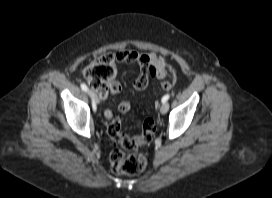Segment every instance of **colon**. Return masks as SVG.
Instances as JSON below:
<instances>
[{
    "label": "colon",
    "instance_id": "1",
    "mask_svg": "<svg viewBox=\"0 0 272 198\" xmlns=\"http://www.w3.org/2000/svg\"><path fill=\"white\" fill-rule=\"evenodd\" d=\"M121 56L117 53H105L96 58L85 70L84 76L88 84L99 94L111 93V85L114 82L115 63L121 61ZM154 74V68L149 67L143 71L136 81L138 89L146 87L148 78ZM162 88L168 91L172 88L170 82H163ZM122 118L116 116L109 123L107 132L109 136L127 151L115 148L110 154V166L114 173L123 175H134L141 172L147 163L145 155L140 151V147L150 142L155 135L156 125L153 119H146L143 123L140 136L130 137L121 133Z\"/></svg>",
    "mask_w": 272,
    "mask_h": 198
}]
</instances>
